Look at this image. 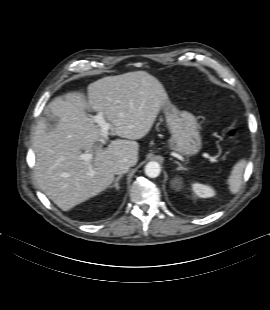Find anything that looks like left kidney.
<instances>
[{
  "label": "left kidney",
  "mask_w": 270,
  "mask_h": 310,
  "mask_svg": "<svg viewBox=\"0 0 270 310\" xmlns=\"http://www.w3.org/2000/svg\"><path fill=\"white\" fill-rule=\"evenodd\" d=\"M192 189L194 193L201 198H209L215 195V191L206 185L194 183L192 184Z\"/></svg>",
  "instance_id": "obj_1"
}]
</instances>
